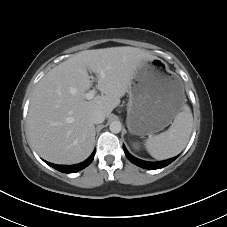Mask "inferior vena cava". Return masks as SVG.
<instances>
[{
    "label": "inferior vena cava",
    "mask_w": 227,
    "mask_h": 227,
    "mask_svg": "<svg viewBox=\"0 0 227 227\" xmlns=\"http://www.w3.org/2000/svg\"><path fill=\"white\" fill-rule=\"evenodd\" d=\"M105 115L100 110H95L91 115V121L94 124H100L104 121Z\"/></svg>",
    "instance_id": "inferior-vena-cava-1"
}]
</instances>
